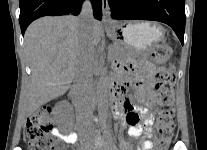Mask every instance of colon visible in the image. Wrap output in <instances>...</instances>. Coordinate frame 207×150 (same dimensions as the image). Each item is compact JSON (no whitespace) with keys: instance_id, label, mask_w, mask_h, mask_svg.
<instances>
[{"instance_id":"obj_1","label":"colon","mask_w":207,"mask_h":150,"mask_svg":"<svg viewBox=\"0 0 207 150\" xmlns=\"http://www.w3.org/2000/svg\"><path fill=\"white\" fill-rule=\"evenodd\" d=\"M169 55L170 48L165 43L156 45L151 53L152 59L161 66L166 64ZM155 78L158 104L154 119V137L157 150H166L175 127L174 90L176 76L172 67H161ZM51 128L52 120L48 107H42L30 115L26 124L29 150H61L58 140L50 134Z\"/></svg>"}]
</instances>
